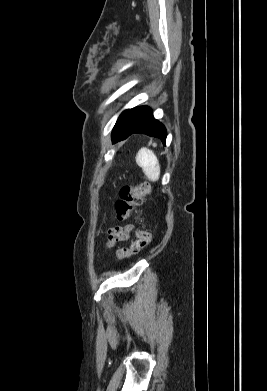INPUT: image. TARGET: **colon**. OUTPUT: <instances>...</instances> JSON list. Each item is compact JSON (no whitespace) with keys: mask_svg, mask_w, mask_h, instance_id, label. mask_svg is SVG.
I'll return each instance as SVG.
<instances>
[{"mask_svg":"<svg viewBox=\"0 0 267 391\" xmlns=\"http://www.w3.org/2000/svg\"><path fill=\"white\" fill-rule=\"evenodd\" d=\"M150 193L151 186L147 182H143L137 186L122 187L119 197L115 202L116 218L119 221L126 220L135 208L143 204L144 198ZM150 241V234L145 230L138 229L134 233V240L129 246L120 249L117 256L120 259L132 257L147 247Z\"/></svg>","mask_w":267,"mask_h":391,"instance_id":"1","label":"colon"}]
</instances>
